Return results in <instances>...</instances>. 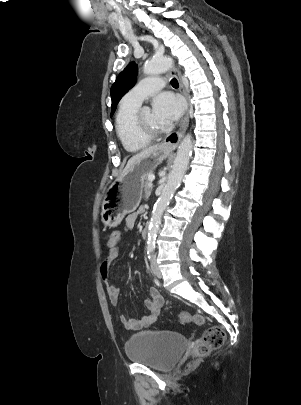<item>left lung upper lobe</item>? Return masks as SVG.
Here are the masks:
<instances>
[{"label":"left lung upper lobe","instance_id":"1","mask_svg":"<svg viewBox=\"0 0 301 405\" xmlns=\"http://www.w3.org/2000/svg\"><path fill=\"white\" fill-rule=\"evenodd\" d=\"M137 71V64H135V62H131L118 75L116 81L113 83L111 87V116L114 114L120 99L129 91V89L134 86L136 82Z\"/></svg>","mask_w":301,"mask_h":405}]
</instances>
